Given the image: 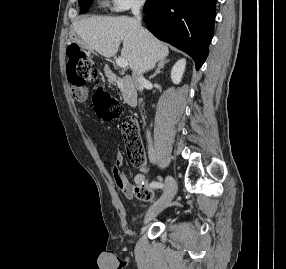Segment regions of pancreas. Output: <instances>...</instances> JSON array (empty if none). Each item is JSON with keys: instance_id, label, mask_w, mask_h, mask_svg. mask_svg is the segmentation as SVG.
I'll return each instance as SVG.
<instances>
[{"instance_id": "obj_1", "label": "pancreas", "mask_w": 286, "mask_h": 269, "mask_svg": "<svg viewBox=\"0 0 286 269\" xmlns=\"http://www.w3.org/2000/svg\"><path fill=\"white\" fill-rule=\"evenodd\" d=\"M106 75H107V77L109 78V81L111 82V81H112V79H111V77L109 76V74H108V73H106Z\"/></svg>"}]
</instances>
